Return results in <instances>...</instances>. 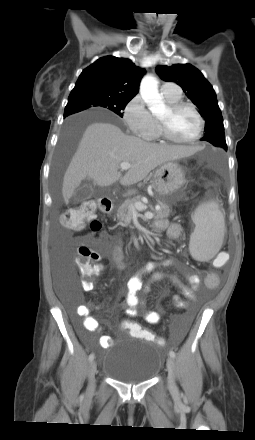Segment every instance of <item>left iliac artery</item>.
I'll use <instances>...</instances> for the list:
<instances>
[{
	"label": "left iliac artery",
	"instance_id": "44dca946",
	"mask_svg": "<svg viewBox=\"0 0 255 440\" xmlns=\"http://www.w3.org/2000/svg\"><path fill=\"white\" fill-rule=\"evenodd\" d=\"M169 355H170V357H172V358H175V356H176V354H175L174 351H170V352H169Z\"/></svg>",
	"mask_w": 255,
	"mask_h": 440
}]
</instances>
